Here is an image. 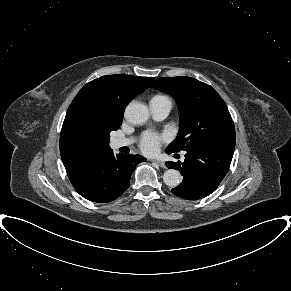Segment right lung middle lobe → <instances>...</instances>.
Masks as SVG:
<instances>
[{
  "label": "right lung middle lobe",
  "mask_w": 291,
  "mask_h": 291,
  "mask_svg": "<svg viewBox=\"0 0 291 291\" xmlns=\"http://www.w3.org/2000/svg\"><path fill=\"white\" fill-rule=\"evenodd\" d=\"M121 123H118L116 125H108L101 129L102 137L106 143L109 144L110 139V132L113 130H117L120 127Z\"/></svg>",
  "instance_id": "right-lung-middle-lobe-1"
}]
</instances>
